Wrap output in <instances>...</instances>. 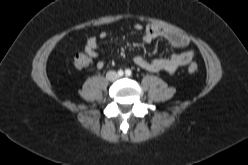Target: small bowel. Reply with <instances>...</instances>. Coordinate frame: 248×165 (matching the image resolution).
<instances>
[{"label": "small bowel", "instance_id": "small-bowel-1", "mask_svg": "<svg viewBox=\"0 0 248 165\" xmlns=\"http://www.w3.org/2000/svg\"><path fill=\"white\" fill-rule=\"evenodd\" d=\"M134 29L143 32L142 37L145 42L161 39L168 42L173 48L179 50L167 58L149 59L136 55L133 58V62L138 67L151 72H165L169 75H173L181 67L187 66L193 61L194 52L192 50H184L189 45L187 36L154 24L147 26L136 24ZM107 36L108 33L106 31H101L97 35L88 38L85 44V52L91 59L98 56L99 42L107 38ZM95 66L97 69H103L105 67V61L99 60Z\"/></svg>", "mask_w": 248, "mask_h": 165}]
</instances>
